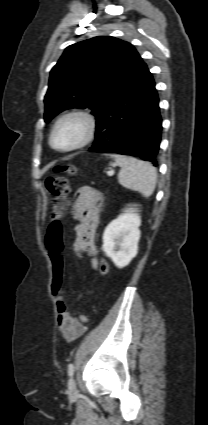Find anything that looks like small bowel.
I'll list each match as a JSON object with an SVG mask.
<instances>
[{
    "instance_id": "small-bowel-1",
    "label": "small bowel",
    "mask_w": 208,
    "mask_h": 425,
    "mask_svg": "<svg viewBox=\"0 0 208 425\" xmlns=\"http://www.w3.org/2000/svg\"><path fill=\"white\" fill-rule=\"evenodd\" d=\"M101 196L95 189L84 186L77 190L75 194V204L73 217L78 220L75 228L76 237L74 247L81 254H87L92 257L91 264L94 271L100 273V259L97 257V246L94 235L99 219V208ZM63 289L60 295L56 297L58 315L57 321L63 337L72 341L79 338L85 331V327L76 318L68 312L63 297Z\"/></svg>"
}]
</instances>
